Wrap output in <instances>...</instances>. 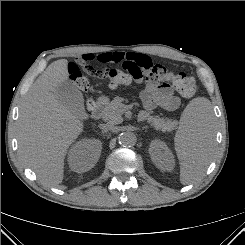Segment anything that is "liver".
Masks as SVG:
<instances>
[{"instance_id":"6515ba94","label":"liver","mask_w":245,"mask_h":245,"mask_svg":"<svg viewBox=\"0 0 245 245\" xmlns=\"http://www.w3.org/2000/svg\"><path fill=\"white\" fill-rule=\"evenodd\" d=\"M68 79V60L54 61L32 84L20 109L19 155L45 186L62 183L67 150L83 131V123L54 94Z\"/></svg>"}]
</instances>
